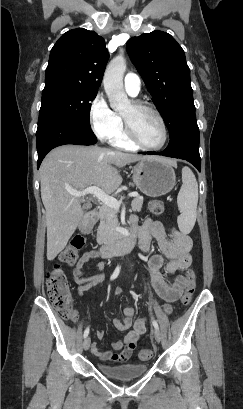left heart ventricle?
Masks as SVG:
<instances>
[{
	"mask_svg": "<svg viewBox=\"0 0 243 409\" xmlns=\"http://www.w3.org/2000/svg\"><path fill=\"white\" fill-rule=\"evenodd\" d=\"M120 113L129 121L135 133L144 143L154 146L162 142L161 125L150 111L136 109L131 103H128Z\"/></svg>",
	"mask_w": 243,
	"mask_h": 409,
	"instance_id": "b2bd125f",
	"label": "left heart ventricle"
}]
</instances>
